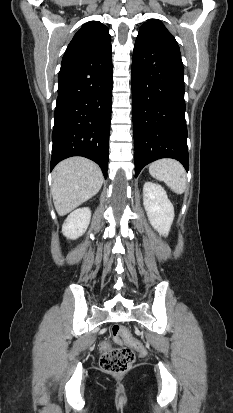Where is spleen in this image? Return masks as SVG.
Segmentation results:
<instances>
[{"mask_svg":"<svg viewBox=\"0 0 233 413\" xmlns=\"http://www.w3.org/2000/svg\"><path fill=\"white\" fill-rule=\"evenodd\" d=\"M149 173L159 181L165 182L176 194H183L186 188L184 167L173 159H160L150 164Z\"/></svg>","mask_w":233,"mask_h":413,"instance_id":"obj_1","label":"spleen"}]
</instances>
